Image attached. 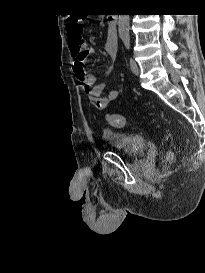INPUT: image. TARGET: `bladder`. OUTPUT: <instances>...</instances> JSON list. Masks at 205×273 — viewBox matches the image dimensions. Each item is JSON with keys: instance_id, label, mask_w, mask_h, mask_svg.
<instances>
[{"instance_id": "bladder-1", "label": "bladder", "mask_w": 205, "mask_h": 273, "mask_svg": "<svg viewBox=\"0 0 205 273\" xmlns=\"http://www.w3.org/2000/svg\"><path fill=\"white\" fill-rule=\"evenodd\" d=\"M102 138L109 148L120 151L130 157L143 156L147 147L146 139L137 133H122L104 129Z\"/></svg>"}]
</instances>
